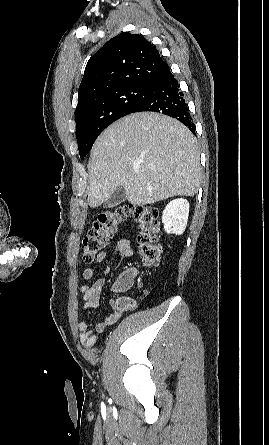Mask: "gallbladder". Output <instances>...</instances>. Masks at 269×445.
<instances>
[{
    "instance_id": "obj_1",
    "label": "gallbladder",
    "mask_w": 269,
    "mask_h": 445,
    "mask_svg": "<svg viewBox=\"0 0 269 445\" xmlns=\"http://www.w3.org/2000/svg\"><path fill=\"white\" fill-rule=\"evenodd\" d=\"M126 200V190L123 187H119L112 195L104 202V208H113L118 206Z\"/></svg>"
}]
</instances>
